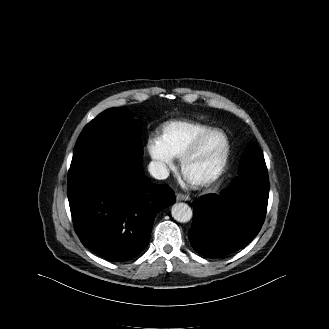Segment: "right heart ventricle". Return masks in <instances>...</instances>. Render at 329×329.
<instances>
[{
  "mask_svg": "<svg viewBox=\"0 0 329 329\" xmlns=\"http://www.w3.org/2000/svg\"><path fill=\"white\" fill-rule=\"evenodd\" d=\"M210 129L194 121H169L162 126L158 140L173 157L180 158L198 136Z\"/></svg>",
  "mask_w": 329,
  "mask_h": 329,
  "instance_id": "e07e8e85",
  "label": "right heart ventricle"
}]
</instances>
